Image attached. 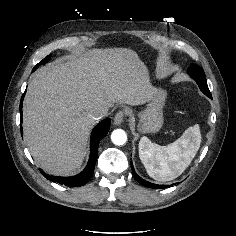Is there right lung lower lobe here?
<instances>
[{
    "instance_id": "98d812e1",
    "label": "right lung lower lobe",
    "mask_w": 236,
    "mask_h": 236,
    "mask_svg": "<svg viewBox=\"0 0 236 236\" xmlns=\"http://www.w3.org/2000/svg\"><path fill=\"white\" fill-rule=\"evenodd\" d=\"M24 95L21 98L20 102V116H21V123H22V101H23ZM111 119L107 118L100 122L92 131L91 135V141H90V157L88 164L86 168L78 175L72 176V177H58V176H50L45 174L41 169L40 172L43 174L45 178L48 180H51L53 182H57L69 187H80L86 184L90 178L93 175L96 159H97V152H98V146L99 141L103 139L110 128ZM21 128V134L23 133L22 126Z\"/></svg>"
}]
</instances>
